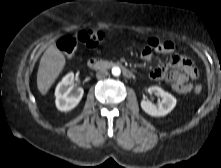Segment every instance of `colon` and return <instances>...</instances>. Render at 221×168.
I'll use <instances>...</instances> for the list:
<instances>
[{
	"instance_id": "5ec220e1",
	"label": "colon",
	"mask_w": 221,
	"mask_h": 168,
	"mask_svg": "<svg viewBox=\"0 0 221 168\" xmlns=\"http://www.w3.org/2000/svg\"><path fill=\"white\" fill-rule=\"evenodd\" d=\"M104 37L105 33L103 31L84 30L79 32L77 36L61 37L57 42V46L65 56L71 57L77 48L78 42H81L88 47H95L104 39ZM147 45L158 52L165 51L169 48L168 44L155 38L149 39L147 41ZM194 92L196 94H200L202 92V86L196 85L194 88Z\"/></svg>"
}]
</instances>
